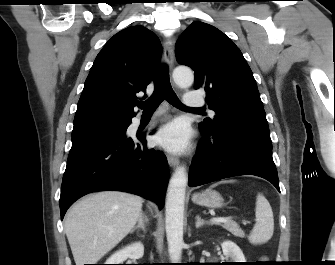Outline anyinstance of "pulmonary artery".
Segmentation results:
<instances>
[{
    "mask_svg": "<svg viewBox=\"0 0 335 265\" xmlns=\"http://www.w3.org/2000/svg\"><path fill=\"white\" fill-rule=\"evenodd\" d=\"M184 104L188 108H200L205 102L202 95L197 91H190L185 95Z\"/></svg>",
    "mask_w": 335,
    "mask_h": 265,
    "instance_id": "obj_1",
    "label": "pulmonary artery"
}]
</instances>
